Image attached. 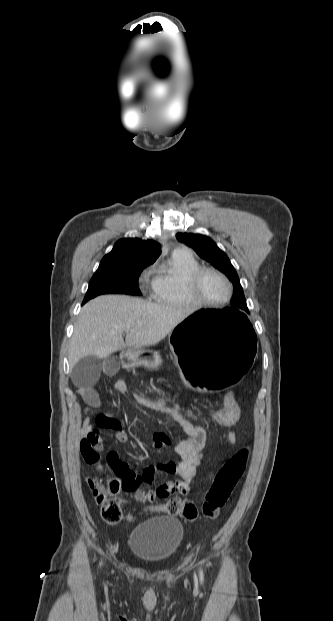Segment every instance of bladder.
<instances>
[{
  "label": "bladder",
  "instance_id": "bladder-1",
  "mask_svg": "<svg viewBox=\"0 0 333 621\" xmlns=\"http://www.w3.org/2000/svg\"><path fill=\"white\" fill-rule=\"evenodd\" d=\"M184 537L180 520L156 516L135 527L129 538L133 555L143 562L161 564L174 556Z\"/></svg>",
  "mask_w": 333,
  "mask_h": 621
}]
</instances>
